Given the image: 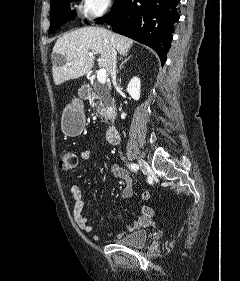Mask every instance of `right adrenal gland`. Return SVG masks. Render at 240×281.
Wrapping results in <instances>:
<instances>
[{
  "label": "right adrenal gland",
  "instance_id": "obj_1",
  "mask_svg": "<svg viewBox=\"0 0 240 281\" xmlns=\"http://www.w3.org/2000/svg\"><path fill=\"white\" fill-rule=\"evenodd\" d=\"M123 56H127V54H125ZM130 57H132V56L130 55V56L126 57L124 60H123V58L120 57V60H122V62L120 64V66H119V71L124 67V64H126V62L129 60Z\"/></svg>",
  "mask_w": 240,
  "mask_h": 281
}]
</instances>
